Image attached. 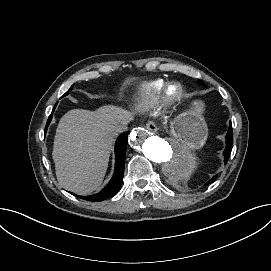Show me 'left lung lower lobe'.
Wrapping results in <instances>:
<instances>
[{"label": "left lung lower lobe", "instance_id": "left-lung-lower-lobe-1", "mask_svg": "<svg viewBox=\"0 0 271 271\" xmlns=\"http://www.w3.org/2000/svg\"><path fill=\"white\" fill-rule=\"evenodd\" d=\"M232 146H233V132H232V125L230 122L229 130L226 136V149L224 151L225 163L230 157ZM215 178L216 176H214L208 183H211L212 181H214Z\"/></svg>", "mask_w": 271, "mask_h": 271}]
</instances>
